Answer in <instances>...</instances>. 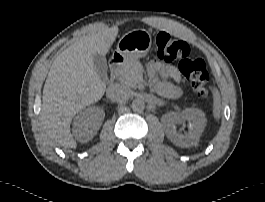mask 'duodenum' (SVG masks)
<instances>
[{"instance_id":"410a0bca","label":"duodenum","mask_w":265,"mask_h":202,"mask_svg":"<svg viewBox=\"0 0 265 202\" xmlns=\"http://www.w3.org/2000/svg\"><path fill=\"white\" fill-rule=\"evenodd\" d=\"M123 61H124V57L122 54L117 52L112 55L111 60L108 65L111 77H115L117 75L119 67Z\"/></svg>"}]
</instances>
